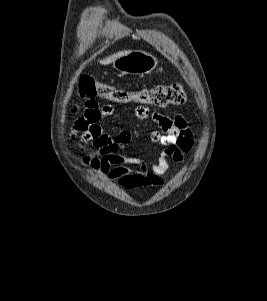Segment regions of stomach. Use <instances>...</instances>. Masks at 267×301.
<instances>
[{
    "label": "stomach",
    "mask_w": 267,
    "mask_h": 301,
    "mask_svg": "<svg viewBox=\"0 0 267 301\" xmlns=\"http://www.w3.org/2000/svg\"><path fill=\"white\" fill-rule=\"evenodd\" d=\"M158 65L155 56L145 51H131L113 62V67L124 73L132 75H145L151 73Z\"/></svg>",
    "instance_id": "0dacf381"
}]
</instances>
